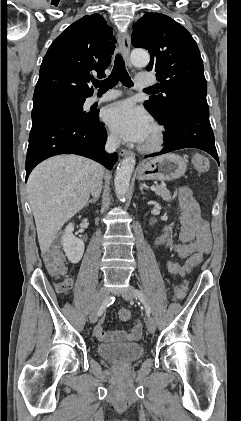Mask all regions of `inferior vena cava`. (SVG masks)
<instances>
[{
    "label": "inferior vena cava",
    "mask_w": 241,
    "mask_h": 421,
    "mask_svg": "<svg viewBox=\"0 0 241 421\" xmlns=\"http://www.w3.org/2000/svg\"><path fill=\"white\" fill-rule=\"evenodd\" d=\"M120 145V139L118 136H109L105 150L109 153L114 152ZM102 175H103V168L98 166L96 173L94 174L92 181H91V194L92 196L99 197L102 189Z\"/></svg>",
    "instance_id": "inferior-vena-cava-1"
}]
</instances>
